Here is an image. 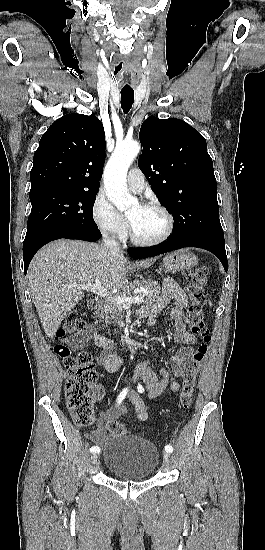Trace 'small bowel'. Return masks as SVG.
<instances>
[{"mask_svg":"<svg viewBox=\"0 0 265 550\" xmlns=\"http://www.w3.org/2000/svg\"><path fill=\"white\" fill-rule=\"evenodd\" d=\"M186 303L185 292L174 280L167 278L163 282L162 297L154 305L142 306L138 311L140 317L147 318L150 325H155L159 313L171 306L170 316L174 321L175 337L180 344L170 357V369L157 368L149 360H143L136 365L133 380L142 385L150 398L159 396L168 387L173 392L180 389V382L171 379V375L181 377L184 374L185 364L190 359L194 351L193 344L196 342V336L187 330L184 323L183 309ZM91 340L103 350L97 358L98 363L109 372L117 371L122 365L123 356L115 351L110 339L98 333L93 327H88L84 332L70 337L67 342L74 349H80ZM129 399L135 408L136 418L139 421H146L149 415L140 396L135 391H131ZM125 411L126 408L117 403L102 414L98 419L97 428L91 434V440L94 443H102L106 437L108 424L118 419Z\"/></svg>","mask_w":265,"mask_h":550,"instance_id":"c3829d8e","label":"small bowel"}]
</instances>
